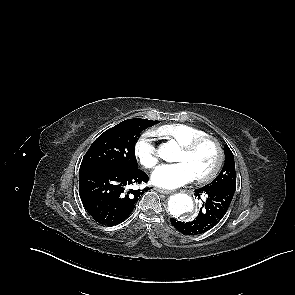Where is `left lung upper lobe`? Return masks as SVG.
I'll use <instances>...</instances> for the list:
<instances>
[{
    "mask_svg": "<svg viewBox=\"0 0 295 295\" xmlns=\"http://www.w3.org/2000/svg\"><path fill=\"white\" fill-rule=\"evenodd\" d=\"M224 153L225 163L220 174L211 183L207 184V186L231 185L236 187L234 156L226 144L224 146Z\"/></svg>",
    "mask_w": 295,
    "mask_h": 295,
    "instance_id": "left-lung-upper-lobe-1",
    "label": "left lung upper lobe"
}]
</instances>
